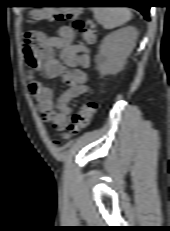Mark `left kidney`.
I'll list each match as a JSON object with an SVG mask.
<instances>
[{"mask_svg":"<svg viewBox=\"0 0 170 231\" xmlns=\"http://www.w3.org/2000/svg\"><path fill=\"white\" fill-rule=\"evenodd\" d=\"M137 36L136 28L128 26L110 33L102 40L99 54L95 58L101 75H115L123 69L135 47Z\"/></svg>","mask_w":170,"mask_h":231,"instance_id":"left-kidney-1","label":"left kidney"}]
</instances>
